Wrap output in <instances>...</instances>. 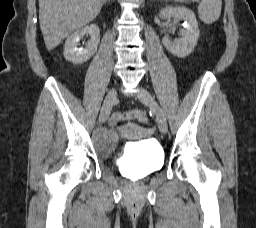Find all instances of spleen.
I'll use <instances>...</instances> for the list:
<instances>
[{
	"label": "spleen",
	"instance_id": "3e777b00",
	"mask_svg": "<svg viewBox=\"0 0 256 228\" xmlns=\"http://www.w3.org/2000/svg\"><path fill=\"white\" fill-rule=\"evenodd\" d=\"M221 8L222 0H201L198 6L199 18L207 25L213 24L220 17Z\"/></svg>",
	"mask_w": 256,
	"mask_h": 228
}]
</instances>
